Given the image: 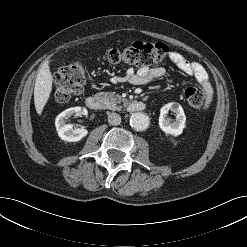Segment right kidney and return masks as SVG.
<instances>
[{
    "label": "right kidney",
    "instance_id": "right-kidney-1",
    "mask_svg": "<svg viewBox=\"0 0 247 247\" xmlns=\"http://www.w3.org/2000/svg\"><path fill=\"white\" fill-rule=\"evenodd\" d=\"M74 113L79 115H87V109L83 107L68 108L56 117V130L59 137L64 141L76 142L88 134V131L84 127L73 129V125L66 124V120Z\"/></svg>",
    "mask_w": 247,
    "mask_h": 247
}]
</instances>
